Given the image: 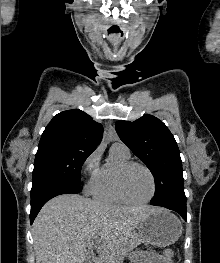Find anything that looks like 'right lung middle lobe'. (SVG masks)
Masks as SVG:
<instances>
[{"label":"right lung middle lobe","instance_id":"right-lung-middle-lobe-1","mask_svg":"<svg viewBox=\"0 0 220 263\" xmlns=\"http://www.w3.org/2000/svg\"><path fill=\"white\" fill-rule=\"evenodd\" d=\"M90 151L74 149H49L36 153L33 182L61 181L80 185V173Z\"/></svg>","mask_w":220,"mask_h":263}]
</instances>
